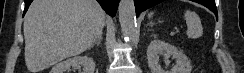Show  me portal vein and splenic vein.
I'll list each match as a JSON object with an SVG mask.
<instances>
[{"instance_id":"18ae733b","label":"portal vein and splenic vein","mask_w":244,"mask_h":73,"mask_svg":"<svg viewBox=\"0 0 244 73\" xmlns=\"http://www.w3.org/2000/svg\"><path fill=\"white\" fill-rule=\"evenodd\" d=\"M172 36L176 34V31H173L170 33Z\"/></svg>"}]
</instances>
